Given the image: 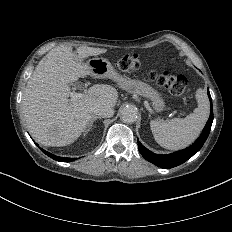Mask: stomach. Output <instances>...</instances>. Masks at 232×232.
<instances>
[{
  "mask_svg": "<svg viewBox=\"0 0 232 232\" xmlns=\"http://www.w3.org/2000/svg\"><path fill=\"white\" fill-rule=\"evenodd\" d=\"M91 68V75L95 78H109L117 82L120 88L129 93L150 99L157 112L164 109V102L160 94L150 85L135 79H129L119 75L108 59L103 57H94L86 63Z\"/></svg>",
  "mask_w": 232,
  "mask_h": 232,
  "instance_id": "1",
  "label": "stomach"
}]
</instances>
